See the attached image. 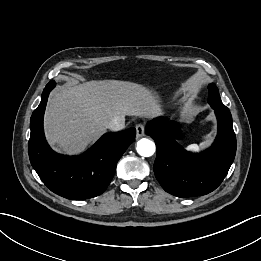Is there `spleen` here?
<instances>
[{
	"mask_svg": "<svg viewBox=\"0 0 261 261\" xmlns=\"http://www.w3.org/2000/svg\"><path fill=\"white\" fill-rule=\"evenodd\" d=\"M207 145V142L201 143L199 146L197 144H191L186 147V150L192 151V152H199L201 149H203Z\"/></svg>",
	"mask_w": 261,
	"mask_h": 261,
	"instance_id": "3e777b00",
	"label": "spleen"
}]
</instances>
